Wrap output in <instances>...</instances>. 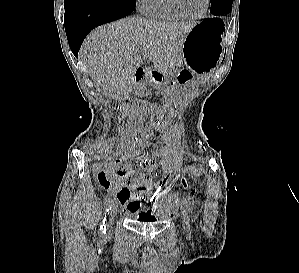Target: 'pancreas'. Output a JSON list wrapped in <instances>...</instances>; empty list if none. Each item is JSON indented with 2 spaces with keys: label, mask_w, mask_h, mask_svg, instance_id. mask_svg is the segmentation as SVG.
<instances>
[{
  "label": "pancreas",
  "mask_w": 299,
  "mask_h": 273,
  "mask_svg": "<svg viewBox=\"0 0 299 273\" xmlns=\"http://www.w3.org/2000/svg\"><path fill=\"white\" fill-rule=\"evenodd\" d=\"M146 91V84L145 83H141L140 86L137 88V92L141 93Z\"/></svg>",
  "instance_id": "obj_1"
}]
</instances>
